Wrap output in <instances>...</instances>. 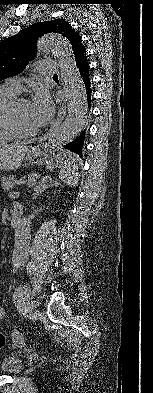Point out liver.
<instances>
[{
  "instance_id": "6515ba94",
  "label": "liver",
  "mask_w": 153,
  "mask_h": 393,
  "mask_svg": "<svg viewBox=\"0 0 153 393\" xmlns=\"http://www.w3.org/2000/svg\"><path fill=\"white\" fill-rule=\"evenodd\" d=\"M25 152V145L12 144L0 147V171L18 169L24 160Z\"/></svg>"
}]
</instances>
